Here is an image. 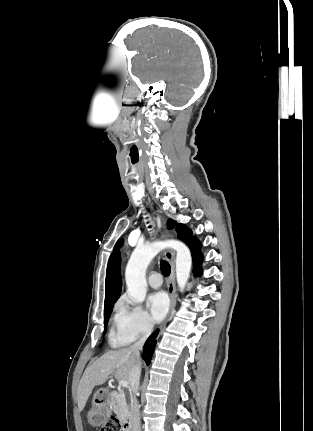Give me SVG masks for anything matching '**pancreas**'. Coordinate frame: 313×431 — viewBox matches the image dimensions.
Instances as JSON below:
<instances>
[{
    "label": "pancreas",
    "instance_id": "obj_1",
    "mask_svg": "<svg viewBox=\"0 0 313 431\" xmlns=\"http://www.w3.org/2000/svg\"><path fill=\"white\" fill-rule=\"evenodd\" d=\"M111 409L121 419L126 416L128 412V405L124 392H116L114 394L111 402Z\"/></svg>",
    "mask_w": 313,
    "mask_h": 431
}]
</instances>
